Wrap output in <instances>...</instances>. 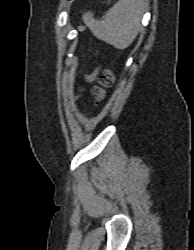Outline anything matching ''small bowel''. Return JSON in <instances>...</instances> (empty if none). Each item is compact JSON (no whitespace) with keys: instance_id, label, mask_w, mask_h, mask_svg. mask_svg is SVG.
<instances>
[{"instance_id":"c3829d8e","label":"small bowel","mask_w":194,"mask_h":250,"mask_svg":"<svg viewBox=\"0 0 194 250\" xmlns=\"http://www.w3.org/2000/svg\"><path fill=\"white\" fill-rule=\"evenodd\" d=\"M93 79H94V76H91V77H90V80H93Z\"/></svg>"}]
</instances>
